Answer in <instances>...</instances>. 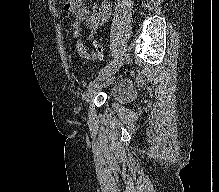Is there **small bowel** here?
Returning <instances> with one entry per match:
<instances>
[{
    "label": "small bowel",
    "mask_w": 219,
    "mask_h": 192,
    "mask_svg": "<svg viewBox=\"0 0 219 192\" xmlns=\"http://www.w3.org/2000/svg\"><path fill=\"white\" fill-rule=\"evenodd\" d=\"M86 0H66L64 11L74 16L73 37L76 39V50L82 57L95 59V53L88 54L83 40L93 38L101 24L110 16L111 4L104 0L93 6L92 11L85 5ZM85 28L89 29V34H85Z\"/></svg>",
    "instance_id": "small-bowel-1"
}]
</instances>
